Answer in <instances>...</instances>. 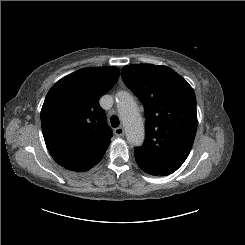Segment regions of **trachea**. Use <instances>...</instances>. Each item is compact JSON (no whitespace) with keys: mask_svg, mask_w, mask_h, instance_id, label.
<instances>
[{"mask_svg":"<svg viewBox=\"0 0 245 245\" xmlns=\"http://www.w3.org/2000/svg\"><path fill=\"white\" fill-rule=\"evenodd\" d=\"M110 122H111L112 127L114 128L118 127L120 124L119 118L115 115L111 117Z\"/></svg>","mask_w":245,"mask_h":245,"instance_id":"trachea-1","label":"trachea"}]
</instances>
